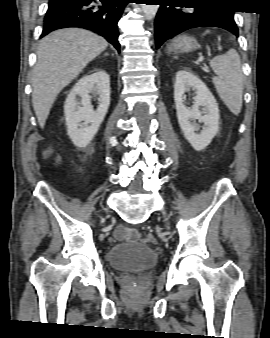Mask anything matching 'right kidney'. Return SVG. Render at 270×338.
Instances as JSON below:
<instances>
[{"label":"right kidney","mask_w":270,"mask_h":338,"mask_svg":"<svg viewBox=\"0 0 270 338\" xmlns=\"http://www.w3.org/2000/svg\"><path fill=\"white\" fill-rule=\"evenodd\" d=\"M91 93L99 95L100 103L96 111L91 105ZM77 96L81 99L77 100ZM109 105L110 78L104 70L86 75L76 83L66 98L64 114L68 135L77 147H86L91 142Z\"/></svg>","instance_id":"obj_1"}]
</instances>
